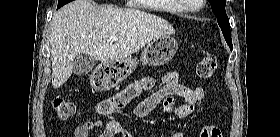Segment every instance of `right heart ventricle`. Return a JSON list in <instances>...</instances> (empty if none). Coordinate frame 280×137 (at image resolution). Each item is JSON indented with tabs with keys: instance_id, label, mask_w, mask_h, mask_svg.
I'll list each match as a JSON object with an SVG mask.
<instances>
[{
	"instance_id": "right-heart-ventricle-1",
	"label": "right heart ventricle",
	"mask_w": 280,
	"mask_h": 137,
	"mask_svg": "<svg viewBox=\"0 0 280 137\" xmlns=\"http://www.w3.org/2000/svg\"><path fill=\"white\" fill-rule=\"evenodd\" d=\"M164 9H166V13L169 14H179L182 12L181 8L177 6H165Z\"/></svg>"
}]
</instances>
